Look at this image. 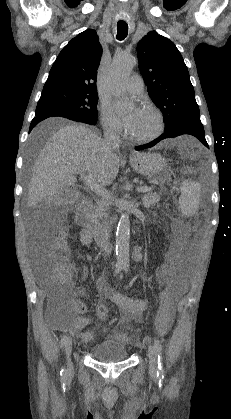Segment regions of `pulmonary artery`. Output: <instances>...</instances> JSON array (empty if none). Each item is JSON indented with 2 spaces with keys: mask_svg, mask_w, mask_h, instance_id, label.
Listing matches in <instances>:
<instances>
[{
  "mask_svg": "<svg viewBox=\"0 0 231 419\" xmlns=\"http://www.w3.org/2000/svg\"><path fill=\"white\" fill-rule=\"evenodd\" d=\"M126 90L131 94H140L143 92L144 83L140 75L131 76L125 83Z\"/></svg>",
  "mask_w": 231,
  "mask_h": 419,
  "instance_id": "e3ab8cb5",
  "label": "pulmonary artery"
}]
</instances>
